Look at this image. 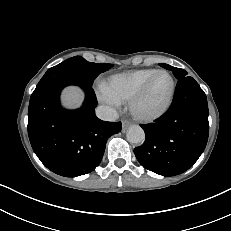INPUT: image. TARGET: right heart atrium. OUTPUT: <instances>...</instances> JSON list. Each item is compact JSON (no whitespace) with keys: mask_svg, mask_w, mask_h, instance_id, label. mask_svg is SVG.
<instances>
[{"mask_svg":"<svg viewBox=\"0 0 231 231\" xmlns=\"http://www.w3.org/2000/svg\"><path fill=\"white\" fill-rule=\"evenodd\" d=\"M100 100L106 104L111 105V106H116L118 104L117 101L111 99L110 97L104 95L103 93L100 94Z\"/></svg>","mask_w":231,"mask_h":231,"instance_id":"right-heart-atrium-1","label":"right heart atrium"}]
</instances>
